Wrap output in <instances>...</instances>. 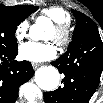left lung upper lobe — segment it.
Returning <instances> with one entry per match:
<instances>
[{
    "instance_id": "left-lung-upper-lobe-1",
    "label": "left lung upper lobe",
    "mask_w": 103,
    "mask_h": 103,
    "mask_svg": "<svg viewBox=\"0 0 103 103\" xmlns=\"http://www.w3.org/2000/svg\"><path fill=\"white\" fill-rule=\"evenodd\" d=\"M72 13L76 19V27L73 32L72 42L69 44L66 53L74 48L76 43L83 39L89 32L98 31L96 23L90 17L76 10H72Z\"/></svg>"
}]
</instances>
